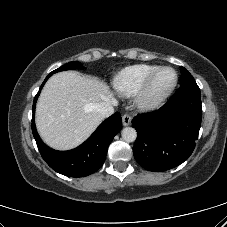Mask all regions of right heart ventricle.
Returning <instances> with one entry per match:
<instances>
[{"label": "right heart ventricle", "mask_w": 227, "mask_h": 227, "mask_svg": "<svg viewBox=\"0 0 227 227\" xmlns=\"http://www.w3.org/2000/svg\"><path fill=\"white\" fill-rule=\"evenodd\" d=\"M158 67L149 64L128 66L114 76L112 87L121 96H133L139 91L147 77Z\"/></svg>", "instance_id": "obj_1"}]
</instances>
